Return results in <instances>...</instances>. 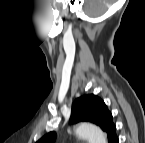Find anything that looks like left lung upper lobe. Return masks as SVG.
<instances>
[{
	"mask_svg": "<svg viewBox=\"0 0 145 143\" xmlns=\"http://www.w3.org/2000/svg\"><path fill=\"white\" fill-rule=\"evenodd\" d=\"M80 121H88L100 126L108 134L109 143L116 137V127L112 121V114L107 109L106 104L94 94L81 96L74 101L70 122ZM55 138V132H50L43 136L38 143H54Z\"/></svg>",
	"mask_w": 145,
	"mask_h": 143,
	"instance_id": "left-lung-upper-lobe-1",
	"label": "left lung upper lobe"
}]
</instances>
